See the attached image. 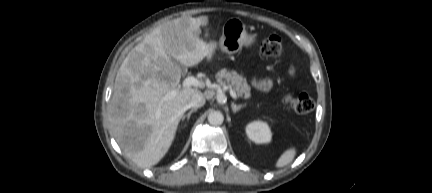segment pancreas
<instances>
[{"label":"pancreas","instance_id":"1","mask_svg":"<svg viewBox=\"0 0 432 193\" xmlns=\"http://www.w3.org/2000/svg\"><path fill=\"white\" fill-rule=\"evenodd\" d=\"M216 81L221 87L230 84L239 97L249 98L251 88L246 79L240 76L236 71H229L226 68L221 69L216 74Z\"/></svg>","mask_w":432,"mask_h":193}]
</instances>
